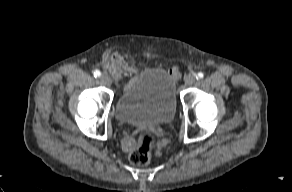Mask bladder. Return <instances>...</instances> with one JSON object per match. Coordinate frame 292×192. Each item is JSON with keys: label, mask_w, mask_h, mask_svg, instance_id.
Returning a JSON list of instances; mask_svg holds the SVG:
<instances>
[{"label": "bladder", "mask_w": 292, "mask_h": 192, "mask_svg": "<svg viewBox=\"0 0 292 192\" xmlns=\"http://www.w3.org/2000/svg\"><path fill=\"white\" fill-rule=\"evenodd\" d=\"M175 112L174 80L160 68H147L132 77L115 105L117 119L125 124H165Z\"/></svg>", "instance_id": "1"}]
</instances>
